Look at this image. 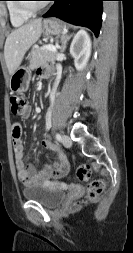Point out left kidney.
I'll list each match as a JSON object with an SVG mask.
<instances>
[{
    "instance_id": "1",
    "label": "left kidney",
    "mask_w": 133,
    "mask_h": 253,
    "mask_svg": "<svg viewBox=\"0 0 133 253\" xmlns=\"http://www.w3.org/2000/svg\"><path fill=\"white\" fill-rule=\"evenodd\" d=\"M91 40L85 30H80L76 33L70 45V54L74 58V64L77 71H82L91 55Z\"/></svg>"
}]
</instances>
